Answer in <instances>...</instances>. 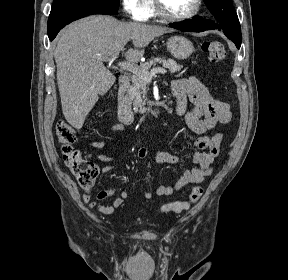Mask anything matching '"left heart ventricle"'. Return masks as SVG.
Wrapping results in <instances>:
<instances>
[{
	"instance_id": "b2bd125f",
	"label": "left heart ventricle",
	"mask_w": 288,
	"mask_h": 280,
	"mask_svg": "<svg viewBox=\"0 0 288 280\" xmlns=\"http://www.w3.org/2000/svg\"><path fill=\"white\" fill-rule=\"evenodd\" d=\"M167 13L180 16L190 12L195 6V0H161Z\"/></svg>"
}]
</instances>
